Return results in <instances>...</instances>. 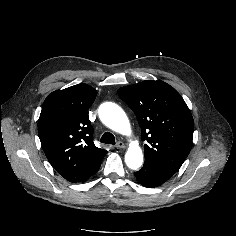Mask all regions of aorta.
I'll use <instances>...</instances> for the list:
<instances>
[{
	"label": "aorta",
	"mask_w": 236,
	"mask_h": 236,
	"mask_svg": "<svg viewBox=\"0 0 236 236\" xmlns=\"http://www.w3.org/2000/svg\"><path fill=\"white\" fill-rule=\"evenodd\" d=\"M101 121L110 129L127 135L130 133V123L123 109L115 103L106 102L99 108ZM126 165L133 170L141 167L143 163V153L137 143H131L125 154Z\"/></svg>",
	"instance_id": "762f6f07"
}]
</instances>
